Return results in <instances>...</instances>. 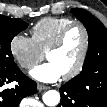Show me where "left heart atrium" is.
Here are the masks:
<instances>
[{"label": "left heart atrium", "instance_id": "39dd6f15", "mask_svg": "<svg viewBox=\"0 0 107 107\" xmlns=\"http://www.w3.org/2000/svg\"><path fill=\"white\" fill-rule=\"evenodd\" d=\"M30 75L39 82L54 83L61 79L64 74L56 63L49 61L36 66L31 70Z\"/></svg>", "mask_w": 107, "mask_h": 107}]
</instances>
